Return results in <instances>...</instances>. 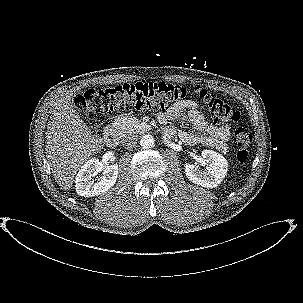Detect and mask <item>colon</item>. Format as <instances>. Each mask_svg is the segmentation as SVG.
Instances as JSON below:
<instances>
[{
  "instance_id": "obj_1",
  "label": "colon",
  "mask_w": 303,
  "mask_h": 303,
  "mask_svg": "<svg viewBox=\"0 0 303 303\" xmlns=\"http://www.w3.org/2000/svg\"><path fill=\"white\" fill-rule=\"evenodd\" d=\"M190 93L201 98L210 114L218 122H237L241 118L238 110L223 100L212 97L203 89L193 92L183 86L167 82H137L119 84L99 89H89L77 96L75 107L91 123L100 117L116 111L161 110L183 100ZM235 154L239 162H245L249 155L252 135L244 128L234 131Z\"/></svg>"
}]
</instances>
